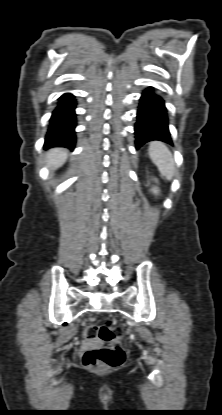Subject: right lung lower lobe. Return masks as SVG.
I'll return each instance as SVG.
<instances>
[{"instance_id":"98d812e1","label":"right lung lower lobe","mask_w":222,"mask_h":415,"mask_svg":"<svg viewBox=\"0 0 222 415\" xmlns=\"http://www.w3.org/2000/svg\"><path fill=\"white\" fill-rule=\"evenodd\" d=\"M76 100L70 93L63 94L58 99V106L53 111L50 126L45 138V148L67 147L73 149L75 146V114Z\"/></svg>"}]
</instances>
